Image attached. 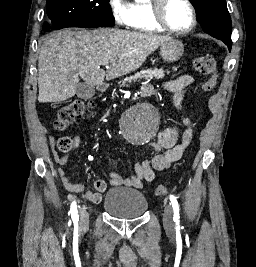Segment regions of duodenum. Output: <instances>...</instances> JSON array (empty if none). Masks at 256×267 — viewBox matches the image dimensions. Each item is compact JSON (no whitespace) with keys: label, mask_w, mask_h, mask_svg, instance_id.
<instances>
[{"label":"duodenum","mask_w":256,"mask_h":267,"mask_svg":"<svg viewBox=\"0 0 256 267\" xmlns=\"http://www.w3.org/2000/svg\"><path fill=\"white\" fill-rule=\"evenodd\" d=\"M152 82H142L141 85H139V99H147L148 98V87H152ZM97 89L100 90H109L110 89V81H99V84H97Z\"/></svg>","instance_id":"obj_1"}]
</instances>
